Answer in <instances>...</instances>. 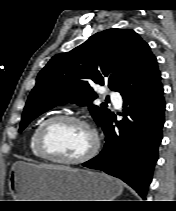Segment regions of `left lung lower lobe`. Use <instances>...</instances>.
Returning <instances> with one entry per match:
<instances>
[{"mask_svg":"<svg viewBox=\"0 0 176 211\" xmlns=\"http://www.w3.org/2000/svg\"><path fill=\"white\" fill-rule=\"evenodd\" d=\"M123 99L124 119L116 122L119 132H115V119L112 118L104 130V149L98 156L83 163V166L122 179L145 198L164 125L165 100L161 75L126 94ZM126 115L135 120L133 130Z\"/></svg>","mask_w":176,"mask_h":211,"instance_id":"0a47b994","label":"left lung lower lobe"}]
</instances>
